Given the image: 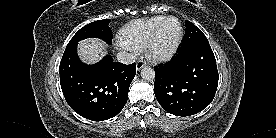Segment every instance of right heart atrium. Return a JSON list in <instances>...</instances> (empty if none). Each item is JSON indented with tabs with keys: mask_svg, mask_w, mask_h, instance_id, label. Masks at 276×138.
<instances>
[{
	"mask_svg": "<svg viewBox=\"0 0 276 138\" xmlns=\"http://www.w3.org/2000/svg\"><path fill=\"white\" fill-rule=\"evenodd\" d=\"M122 47H124L125 49L130 50V51L133 50V49H131V48H129V47H126V46H123V45H122Z\"/></svg>",
	"mask_w": 276,
	"mask_h": 138,
	"instance_id": "d8ad5b80",
	"label": "right heart atrium"
}]
</instances>
